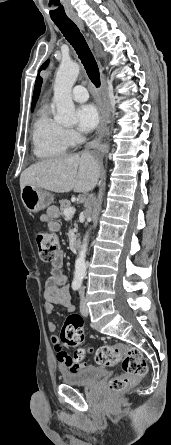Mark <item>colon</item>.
<instances>
[{
  "label": "colon",
  "instance_id": "5ec220e1",
  "mask_svg": "<svg viewBox=\"0 0 171 445\" xmlns=\"http://www.w3.org/2000/svg\"><path fill=\"white\" fill-rule=\"evenodd\" d=\"M35 239L40 259L44 262H52L59 251L58 237L50 231L39 229L36 231ZM83 323V318L79 315L68 316L61 330L62 343L80 347L83 344ZM83 355V350L78 349L73 358L79 360ZM95 360L101 366H113L121 362L122 373L113 377L108 383L107 389L111 394H119L130 389L147 372V363L140 350L121 343L100 347L96 351Z\"/></svg>",
  "mask_w": 171,
  "mask_h": 445
}]
</instances>
